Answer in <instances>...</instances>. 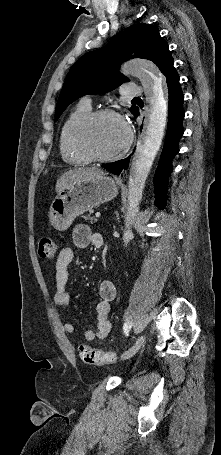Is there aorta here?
I'll return each mask as SVG.
<instances>
[{
	"mask_svg": "<svg viewBox=\"0 0 221 455\" xmlns=\"http://www.w3.org/2000/svg\"><path fill=\"white\" fill-rule=\"evenodd\" d=\"M122 69L126 74L140 79L148 101V113L128 179V208L123 235V241L127 245L132 235L131 226L138 212L147 176L164 137L168 105L164 77L155 64L138 60L125 64Z\"/></svg>",
	"mask_w": 221,
	"mask_h": 455,
	"instance_id": "762f6f07",
	"label": "aorta"
}]
</instances>
